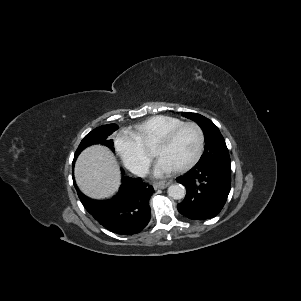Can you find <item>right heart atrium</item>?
<instances>
[{
  "label": "right heart atrium",
  "mask_w": 301,
  "mask_h": 301,
  "mask_svg": "<svg viewBox=\"0 0 301 301\" xmlns=\"http://www.w3.org/2000/svg\"><path fill=\"white\" fill-rule=\"evenodd\" d=\"M115 148L126 168L135 174H144L151 158L144 145L129 131H122L115 138Z\"/></svg>",
  "instance_id": "1"
}]
</instances>
